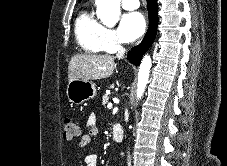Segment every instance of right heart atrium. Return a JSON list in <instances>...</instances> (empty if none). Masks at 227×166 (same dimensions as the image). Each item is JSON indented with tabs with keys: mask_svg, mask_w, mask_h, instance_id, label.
I'll use <instances>...</instances> for the list:
<instances>
[{
	"mask_svg": "<svg viewBox=\"0 0 227 166\" xmlns=\"http://www.w3.org/2000/svg\"><path fill=\"white\" fill-rule=\"evenodd\" d=\"M121 42L117 33L112 29H106L104 34V50L110 52L120 46Z\"/></svg>",
	"mask_w": 227,
	"mask_h": 166,
	"instance_id": "right-heart-atrium-1",
	"label": "right heart atrium"
}]
</instances>
